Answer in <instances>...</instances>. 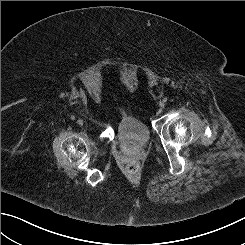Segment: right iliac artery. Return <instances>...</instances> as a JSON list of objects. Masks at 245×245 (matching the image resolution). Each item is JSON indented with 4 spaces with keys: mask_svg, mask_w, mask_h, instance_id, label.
<instances>
[{
    "mask_svg": "<svg viewBox=\"0 0 245 245\" xmlns=\"http://www.w3.org/2000/svg\"><path fill=\"white\" fill-rule=\"evenodd\" d=\"M70 119H71L72 121H74V120H75V116L72 115V116L70 117Z\"/></svg>",
    "mask_w": 245,
    "mask_h": 245,
    "instance_id": "82829eb1",
    "label": "right iliac artery"
}]
</instances>
